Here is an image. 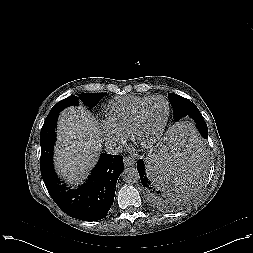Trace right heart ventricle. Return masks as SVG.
<instances>
[{"mask_svg": "<svg viewBox=\"0 0 253 253\" xmlns=\"http://www.w3.org/2000/svg\"><path fill=\"white\" fill-rule=\"evenodd\" d=\"M150 97L128 95L113 99L107 108L106 122L115 133L126 136L137 109Z\"/></svg>", "mask_w": 253, "mask_h": 253, "instance_id": "e07e8e85", "label": "right heart ventricle"}]
</instances>
